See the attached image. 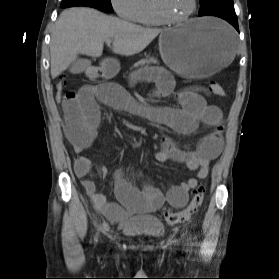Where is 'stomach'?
<instances>
[{"label":"stomach","mask_w":279,"mask_h":279,"mask_svg":"<svg viewBox=\"0 0 279 279\" xmlns=\"http://www.w3.org/2000/svg\"><path fill=\"white\" fill-rule=\"evenodd\" d=\"M159 52L173 71L189 79L206 78L228 69L237 55L233 30L210 18L192 19L164 30L159 37ZM102 68L105 77H98V82H107V77L118 70V63L107 60Z\"/></svg>","instance_id":"0dacf381"}]
</instances>
